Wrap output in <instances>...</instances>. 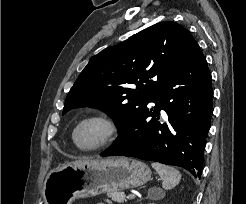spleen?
Returning a JSON list of instances; mask_svg holds the SVG:
<instances>
[{
  "instance_id": "1",
  "label": "spleen",
  "mask_w": 246,
  "mask_h": 204,
  "mask_svg": "<svg viewBox=\"0 0 246 204\" xmlns=\"http://www.w3.org/2000/svg\"><path fill=\"white\" fill-rule=\"evenodd\" d=\"M151 166L156 170L162 180V187L165 190L175 187L181 179L180 172L174 167L153 162Z\"/></svg>"
}]
</instances>
